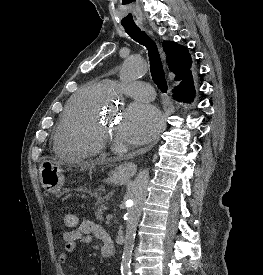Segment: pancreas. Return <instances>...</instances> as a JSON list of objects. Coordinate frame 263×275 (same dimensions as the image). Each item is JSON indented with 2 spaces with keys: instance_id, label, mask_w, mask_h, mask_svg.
<instances>
[{
  "instance_id": "pancreas-1",
  "label": "pancreas",
  "mask_w": 263,
  "mask_h": 275,
  "mask_svg": "<svg viewBox=\"0 0 263 275\" xmlns=\"http://www.w3.org/2000/svg\"><path fill=\"white\" fill-rule=\"evenodd\" d=\"M95 197L97 199L96 205L98 206V208L95 212V216H96L97 220L102 221L103 220V212L105 211V205L103 204V202L107 199V197H103L99 194H95Z\"/></svg>"
}]
</instances>
